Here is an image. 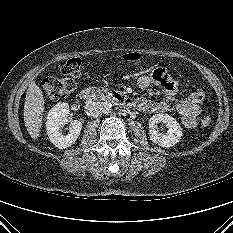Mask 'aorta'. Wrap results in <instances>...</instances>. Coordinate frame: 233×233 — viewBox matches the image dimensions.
<instances>
[{
  "mask_svg": "<svg viewBox=\"0 0 233 233\" xmlns=\"http://www.w3.org/2000/svg\"><path fill=\"white\" fill-rule=\"evenodd\" d=\"M111 110H112V104L109 103V102H104L102 112L103 113H109Z\"/></svg>",
  "mask_w": 233,
  "mask_h": 233,
  "instance_id": "762f6f07",
  "label": "aorta"
}]
</instances>
